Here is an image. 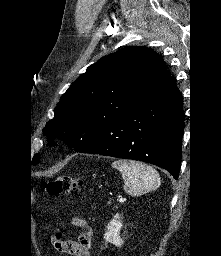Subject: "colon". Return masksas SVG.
<instances>
[{"label": "colon", "mask_w": 221, "mask_h": 256, "mask_svg": "<svg viewBox=\"0 0 221 256\" xmlns=\"http://www.w3.org/2000/svg\"><path fill=\"white\" fill-rule=\"evenodd\" d=\"M45 191L50 195L70 194L74 191H78L81 187V182L70 176H60L55 179L46 181L43 183ZM62 237L60 234L55 236V243L59 250Z\"/></svg>", "instance_id": "colon-1"}]
</instances>
